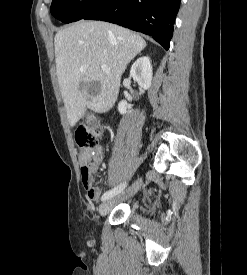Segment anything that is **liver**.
I'll return each instance as SVG.
<instances>
[{
	"mask_svg": "<svg viewBox=\"0 0 247 275\" xmlns=\"http://www.w3.org/2000/svg\"><path fill=\"white\" fill-rule=\"evenodd\" d=\"M54 46L58 83L69 124L74 126L87 109L105 113L114 106L122 74L146 41L115 24L80 21L58 31Z\"/></svg>",
	"mask_w": 247,
	"mask_h": 275,
	"instance_id": "obj_1",
	"label": "liver"
}]
</instances>
